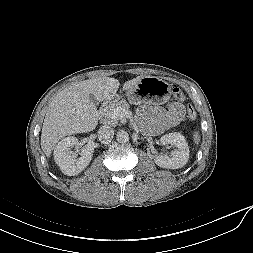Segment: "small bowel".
<instances>
[{
    "instance_id": "c3829d8e",
    "label": "small bowel",
    "mask_w": 253,
    "mask_h": 253,
    "mask_svg": "<svg viewBox=\"0 0 253 253\" xmlns=\"http://www.w3.org/2000/svg\"><path fill=\"white\" fill-rule=\"evenodd\" d=\"M184 116V106L172 102L167 109L144 105L138 108L137 118L147 124L148 131L157 135L165 129L177 125Z\"/></svg>"
}]
</instances>
